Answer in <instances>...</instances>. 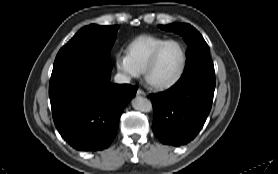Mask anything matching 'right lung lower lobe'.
I'll return each mask as SVG.
<instances>
[{"label":"right lung lower lobe","instance_id":"obj_1","mask_svg":"<svg viewBox=\"0 0 278 174\" xmlns=\"http://www.w3.org/2000/svg\"><path fill=\"white\" fill-rule=\"evenodd\" d=\"M137 89L110 83V71L71 65L52 72L49 97L56 128L75 149L107 148Z\"/></svg>","mask_w":278,"mask_h":174}]
</instances>
